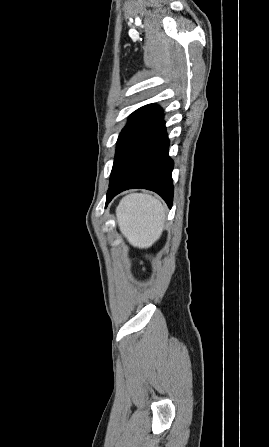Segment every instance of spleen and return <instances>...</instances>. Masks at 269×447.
I'll use <instances>...</instances> for the list:
<instances>
[{
  "instance_id": "obj_1",
  "label": "spleen",
  "mask_w": 269,
  "mask_h": 447,
  "mask_svg": "<svg viewBox=\"0 0 269 447\" xmlns=\"http://www.w3.org/2000/svg\"><path fill=\"white\" fill-rule=\"evenodd\" d=\"M164 206L150 194H128L116 208L117 224L131 245L150 247L159 239L165 222Z\"/></svg>"
}]
</instances>
